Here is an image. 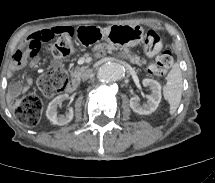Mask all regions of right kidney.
Wrapping results in <instances>:
<instances>
[{
    "label": "right kidney",
    "instance_id": "1",
    "mask_svg": "<svg viewBox=\"0 0 215 183\" xmlns=\"http://www.w3.org/2000/svg\"><path fill=\"white\" fill-rule=\"evenodd\" d=\"M68 98V94L58 95L48 104L46 116L52 124L63 126L68 124L73 119V108H69L65 115H58L57 112L58 106Z\"/></svg>",
    "mask_w": 215,
    "mask_h": 183
}]
</instances>
